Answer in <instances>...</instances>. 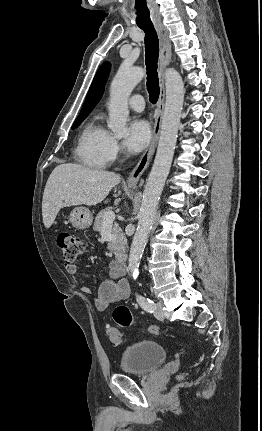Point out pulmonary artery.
<instances>
[{"mask_svg": "<svg viewBox=\"0 0 262 431\" xmlns=\"http://www.w3.org/2000/svg\"><path fill=\"white\" fill-rule=\"evenodd\" d=\"M128 104L134 111L142 112L145 108V99L142 95L136 94L129 99Z\"/></svg>", "mask_w": 262, "mask_h": 431, "instance_id": "e3ab8cb5", "label": "pulmonary artery"}]
</instances>
